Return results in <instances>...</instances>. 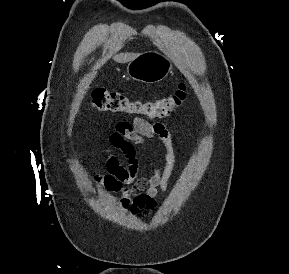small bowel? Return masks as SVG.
<instances>
[{
    "mask_svg": "<svg viewBox=\"0 0 289 274\" xmlns=\"http://www.w3.org/2000/svg\"><path fill=\"white\" fill-rule=\"evenodd\" d=\"M108 140L112 147L123 153L127 163L122 164L116 155L110 154L106 159L107 173L96 176V183L108 191L121 193L120 207L123 211L131 215L151 213L157 206L159 193L166 192L175 166L172 133L162 123L137 117L132 123H117ZM147 140L160 142L165 154L162 164L154 169L150 177L139 178L136 147L145 149Z\"/></svg>",
    "mask_w": 289,
    "mask_h": 274,
    "instance_id": "small-bowel-1",
    "label": "small bowel"
}]
</instances>
